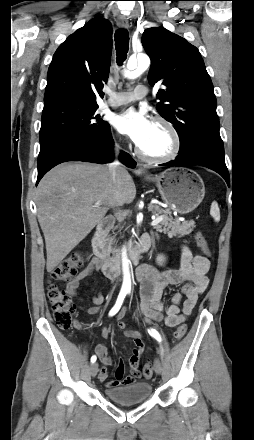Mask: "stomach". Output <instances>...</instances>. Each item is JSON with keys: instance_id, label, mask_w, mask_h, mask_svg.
Returning a JSON list of instances; mask_svg holds the SVG:
<instances>
[{"instance_id": "1", "label": "stomach", "mask_w": 254, "mask_h": 440, "mask_svg": "<svg viewBox=\"0 0 254 440\" xmlns=\"http://www.w3.org/2000/svg\"><path fill=\"white\" fill-rule=\"evenodd\" d=\"M155 182L162 200L179 214L192 212L202 202L205 186L202 178L193 170L170 168L155 176H147Z\"/></svg>"}]
</instances>
